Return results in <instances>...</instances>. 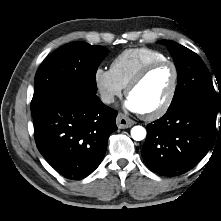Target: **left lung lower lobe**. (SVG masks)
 Returning a JSON list of instances; mask_svg holds the SVG:
<instances>
[{
	"label": "left lung lower lobe",
	"mask_w": 221,
	"mask_h": 221,
	"mask_svg": "<svg viewBox=\"0 0 221 221\" xmlns=\"http://www.w3.org/2000/svg\"><path fill=\"white\" fill-rule=\"evenodd\" d=\"M216 109L198 100L169 107L148 124L142 157L153 172L178 176L196 166L212 148L216 137Z\"/></svg>",
	"instance_id": "1"
}]
</instances>
